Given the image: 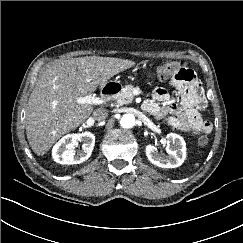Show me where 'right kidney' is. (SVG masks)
Wrapping results in <instances>:
<instances>
[{"instance_id": "1", "label": "right kidney", "mask_w": 243, "mask_h": 243, "mask_svg": "<svg viewBox=\"0 0 243 243\" xmlns=\"http://www.w3.org/2000/svg\"><path fill=\"white\" fill-rule=\"evenodd\" d=\"M79 141L83 143L82 150L75 153L74 148L77 147ZM94 145L95 136L91 132L67 134L54 145L52 157L60 164H80L91 156Z\"/></svg>"}]
</instances>
